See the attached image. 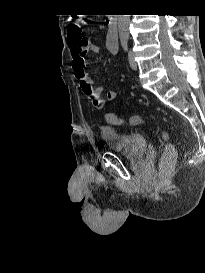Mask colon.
I'll return each mask as SVG.
<instances>
[{
  "instance_id": "1",
  "label": "colon",
  "mask_w": 205,
  "mask_h": 273,
  "mask_svg": "<svg viewBox=\"0 0 205 273\" xmlns=\"http://www.w3.org/2000/svg\"><path fill=\"white\" fill-rule=\"evenodd\" d=\"M82 25H83V18H79L74 20L68 26V36H69L70 42L75 43L79 46L86 45V40L82 36ZM105 119L113 125H121L123 123L122 119L113 113H107L105 115ZM148 122H150V120H148L147 118L136 116V115L132 116L130 119V123L135 126L142 125ZM162 138L165 142L163 159H164V163L167 164L171 162L172 159L175 157L176 150H175V147L171 144L167 132L165 131L162 132Z\"/></svg>"
}]
</instances>
